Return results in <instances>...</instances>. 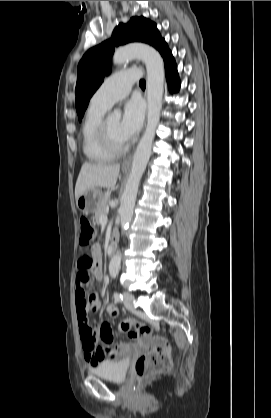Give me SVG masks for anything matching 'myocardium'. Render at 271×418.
Listing matches in <instances>:
<instances>
[{
	"label": "myocardium",
	"mask_w": 271,
	"mask_h": 418,
	"mask_svg": "<svg viewBox=\"0 0 271 418\" xmlns=\"http://www.w3.org/2000/svg\"><path fill=\"white\" fill-rule=\"evenodd\" d=\"M109 117H104L98 129V139L101 146L113 155L122 154L126 150L125 141H116L110 131Z\"/></svg>",
	"instance_id": "f54148a6"
}]
</instances>
